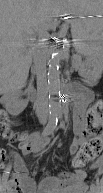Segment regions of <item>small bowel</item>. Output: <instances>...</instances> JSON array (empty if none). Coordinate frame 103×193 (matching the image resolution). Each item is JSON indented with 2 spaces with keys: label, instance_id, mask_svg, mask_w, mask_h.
<instances>
[{
  "label": "small bowel",
  "instance_id": "small-bowel-1",
  "mask_svg": "<svg viewBox=\"0 0 103 193\" xmlns=\"http://www.w3.org/2000/svg\"><path fill=\"white\" fill-rule=\"evenodd\" d=\"M90 97V95H86ZM88 106L87 102L81 104L82 109H86ZM87 126V120L82 117L76 122L75 134L76 138L71 146L72 149H76L78 145L84 144L83 139L85 136ZM46 144L45 140L38 138L36 135H32L26 138L22 144V152L24 155H30L41 151ZM4 155V151H2ZM16 168L18 170V175L13 178L10 182V189L17 185L18 187H23L21 193H62L64 189L77 190L82 188V182L86 177L85 172H79L77 174L69 173H56L55 176L50 177L45 180L41 189L37 192L33 181L22 163H17ZM25 186V187H24Z\"/></svg>",
  "mask_w": 103,
  "mask_h": 193
}]
</instances>
